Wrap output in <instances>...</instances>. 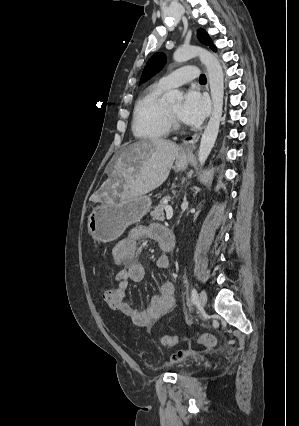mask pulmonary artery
I'll return each instance as SVG.
<instances>
[{"mask_svg": "<svg viewBox=\"0 0 299 426\" xmlns=\"http://www.w3.org/2000/svg\"><path fill=\"white\" fill-rule=\"evenodd\" d=\"M198 77V69L195 66L181 67L165 76L159 82L167 88L186 84Z\"/></svg>", "mask_w": 299, "mask_h": 426, "instance_id": "pulmonary-artery-1", "label": "pulmonary artery"}]
</instances>
